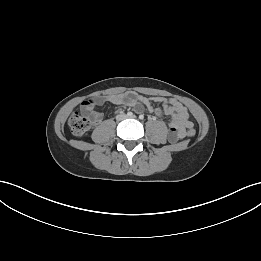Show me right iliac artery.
<instances>
[{
	"instance_id": "82829eb1",
	"label": "right iliac artery",
	"mask_w": 261,
	"mask_h": 261,
	"mask_svg": "<svg viewBox=\"0 0 261 261\" xmlns=\"http://www.w3.org/2000/svg\"><path fill=\"white\" fill-rule=\"evenodd\" d=\"M127 116H128V117H132V116H133V113H132V112H128V113H127Z\"/></svg>"
}]
</instances>
